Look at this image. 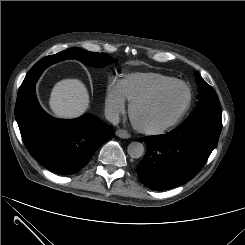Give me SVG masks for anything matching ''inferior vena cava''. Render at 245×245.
<instances>
[{"label": "inferior vena cava", "instance_id": "inferior-vena-cava-1", "mask_svg": "<svg viewBox=\"0 0 245 245\" xmlns=\"http://www.w3.org/2000/svg\"><path fill=\"white\" fill-rule=\"evenodd\" d=\"M105 118L112 124L119 123V112L115 110H105Z\"/></svg>", "mask_w": 245, "mask_h": 245}]
</instances>
